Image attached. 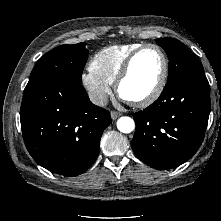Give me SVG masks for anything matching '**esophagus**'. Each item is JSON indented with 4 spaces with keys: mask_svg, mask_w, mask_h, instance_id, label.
<instances>
[{
    "mask_svg": "<svg viewBox=\"0 0 221 221\" xmlns=\"http://www.w3.org/2000/svg\"><path fill=\"white\" fill-rule=\"evenodd\" d=\"M120 116H121V113H119V112H117V111H112V112H111V118H112L113 120L117 119V118L120 117Z\"/></svg>",
    "mask_w": 221,
    "mask_h": 221,
    "instance_id": "1",
    "label": "esophagus"
}]
</instances>
